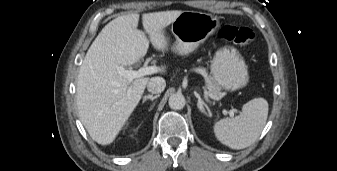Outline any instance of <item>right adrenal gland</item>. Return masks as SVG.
<instances>
[{
  "instance_id": "right-adrenal-gland-1",
  "label": "right adrenal gland",
  "mask_w": 337,
  "mask_h": 171,
  "mask_svg": "<svg viewBox=\"0 0 337 171\" xmlns=\"http://www.w3.org/2000/svg\"><path fill=\"white\" fill-rule=\"evenodd\" d=\"M159 97V95H155V96H153V95H147V96H144V98H143V103L146 101V100H151L152 102L156 99V98H158Z\"/></svg>"
}]
</instances>
